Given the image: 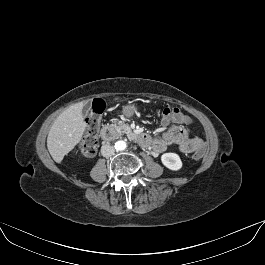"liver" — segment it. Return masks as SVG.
Listing matches in <instances>:
<instances>
[{
  "label": "liver",
  "instance_id": "liver-1",
  "mask_svg": "<svg viewBox=\"0 0 265 265\" xmlns=\"http://www.w3.org/2000/svg\"><path fill=\"white\" fill-rule=\"evenodd\" d=\"M83 103H76L62 112L52 124L47 148L55 162L60 163L81 141L85 123L82 116Z\"/></svg>",
  "mask_w": 265,
  "mask_h": 265
}]
</instances>
